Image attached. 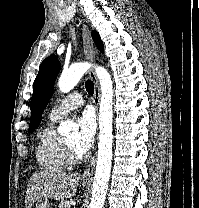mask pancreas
<instances>
[{
    "label": "pancreas",
    "mask_w": 199,
    "mask_h": 208,
    "mask_svg": "<svg viewBox=\"0 0 199 208\" xmlns=\"http://www.w3.org/2000/svg\"><path fill=\"white\" fill-rule=\"evenodd\" d=\"M58 208H70V201L66 200L64 202H62Z\"/></svg>",
    "instance_id": "obj_1"
}]
</instances>
